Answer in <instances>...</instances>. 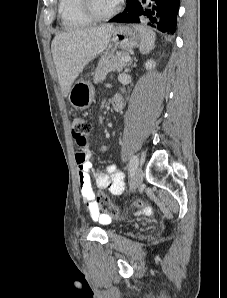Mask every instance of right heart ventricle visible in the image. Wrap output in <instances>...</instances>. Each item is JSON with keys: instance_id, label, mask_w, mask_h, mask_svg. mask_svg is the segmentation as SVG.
Masks as SVG:
<instances>
[{"instance_id": "right-heart-ventricle-1", "label": "right heart ventricle", "mask_w": 227, "mask_h": 298, "mask_svg": "<svg viewBox=\"0 0 227 298\" xmlns=\"http://www.w3.org/2000/svg\"><path fill=\"white\" fill-rule=\"evenodd\" d=\"M58 13L66 29L86 27L92 23L82 10L81 0H59Z\"/></svg>"}]
</instances>
